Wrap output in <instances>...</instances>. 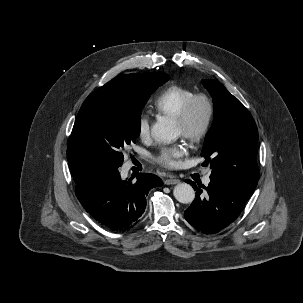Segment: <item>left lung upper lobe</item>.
I'll return each instance as SVG.
<instances>
[{"mask_svg": "<svg viewBox=\"0 0 303 303\" xmlns=\"http://www.w3.org/2000/svg\"><path fill=\"white\" fill-rule=\"evenodd\" d=\"M214 102V121L201 152L211 174L253 193L259 180L258 131L246 107L216 80H202Z\"/></svg>", "mask_w": 303, "mask_h": 303, "instance_id": "obj_1", "label": "left lung upper lobe"}]
</instances>
